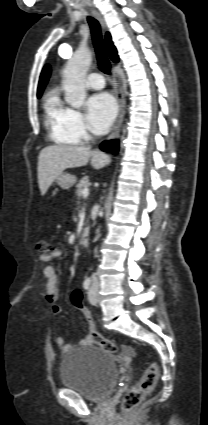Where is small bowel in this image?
<instances>
[{"instance_id":"1","label":"small bowel","mask_w":208,"mask_h":425,"mask_svg":"<svg viewBox=\"0 0 208 425\" xmlns=\"http://www.w3.org/2000/svg\"><path fill=\"white\" fill-rule=\"evenodd\" d=\"M62 252L60 250L54 251L50 255L41 254L40 261L44 263L43 274L46 278V293L45 298L46 301L50 304L51 310L54 314H59L61 312V307L57 304V300L59 297L60 289H59V277L57 271L54 266L50 263L53 258L61 257ZM92 341L90 337H86L81 340V345H88ZM55 343L57 346L63 351L68 352L71 349V345L66 343L64 338L60 335L55 337Z\"/></svg>"}]
</instances>
